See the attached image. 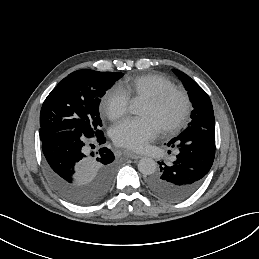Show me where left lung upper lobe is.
<instances>
[{
	"label": "left lung upper lobe",
	"instance_id": "obj_1",
	"mask_svg": "<svg viewBox=\"0 0 259 259\" xmlns=\"http://www.w3.org/2000/svg\"><path fill=\"white\" fill-rule=\"evenodd\" d=\"M173 71L183 82L193 106V111L191 112L192 121L188 124V127L215 129L214 112L207 93L185 73L176 69Z\"/></svg>",
	"mask_w": 259,
	"mask_h": 259
}]
</instances>
